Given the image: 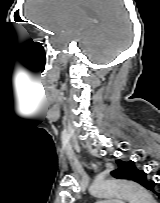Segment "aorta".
<instances>
[{"instance_id": "aorta-1", "label": "aorta", "mask_w": 160, "mask_h": 203, "mask_svg": "<svg viewBox=\"0 0 160 203\" xmlns=\"http://www.w3.org/2000/svg\"><path fill=\"white\" fill-rule=\"evenodd\" d=\"M90 193L98 197H123L129 203H156L145 188L131 181L114 179L97 181L90 187Z\"/></svg>"}]
</instances>
